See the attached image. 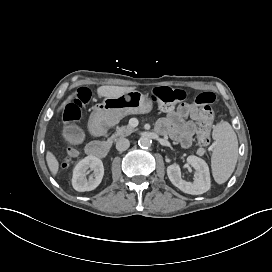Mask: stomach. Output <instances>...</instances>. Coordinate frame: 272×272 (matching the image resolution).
<instances>
[{"label":"stomach","mask_w":272,"mask_h":272,"mask_svg":"<svg viewBox=\"0 0 272 272\" xmlns=\"http://www.w3.org/2000/svg\"><path fill=\"white\" fill-rule=\"evenodd\" d=\"M103 106L119 117L128 114H145L152 109L151 99L137 90L127 91L118 97L105 98Z\"/></svg>","instance_id":"0dacf381"}]
</instances>
